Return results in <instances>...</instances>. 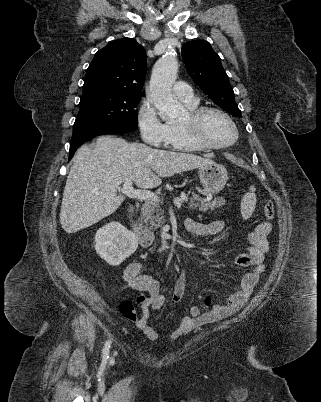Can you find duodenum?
I'll list each match as a JSON object with an SVG mask.
<instances>
[{"mask_svg":"<svg viewBox=\"0 0 321 402\" xmlns=\"http://www.w3.org/2000/svg\"><path fill=\"white\" fill-rule=\"evenodd\" d=\"M128 226L137 236V239L142 247H152L157 243L156 236L143 225L137 223L132 216V209L128 210L127 214Z\"/></svg>","mask_w":321,"mask_h":402,"instance_id":"duodenum-1","label":"duodenum"}]
</instances>
